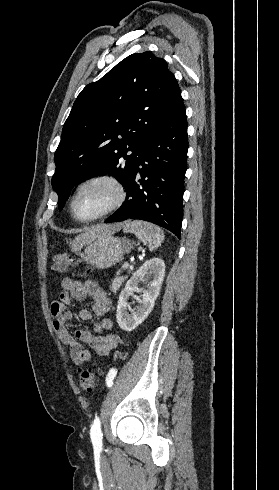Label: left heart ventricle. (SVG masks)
I'll return each mask as SVG.
<instances>
[{
    "label": "left heart ventricle",
    "instance_id": "obj_1",
    "mask_svg": "<svg viewBox=\"0 0 279 490\" xmlns=\"http://www.w3.org/2000/svg\"><path fill=\"white\" fill-rule=\"evenodd\" d=\"M113 197L111 189L102 184L86 186L80 193L75 212L79 217H88L105 206Z\"/></svg>",
    "mask_w": 279,
    "mask_h": 490
}]
</instances>
